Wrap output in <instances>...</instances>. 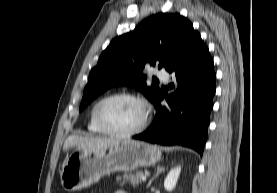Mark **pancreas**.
<instances>
[{
	"instance_id": "pancreas-1",
	"label": "pancreas",
	"mask_w": 277,
	"mask_h": 193,
	"mask_svg": "<svg viewBox=\"0 0 277 193\" xmlns=\"http://www.w3.org/2000/svg\"><path fill=\"white\" fill-rule=\"evenodd\" d=\"M142 176H144V173L142 171H138L135 174L128 173L124 174L123 176H117V181L120 183V185L129 183L133 186H137L139 183H141Z\"/></svg>"
}]
</instances>
